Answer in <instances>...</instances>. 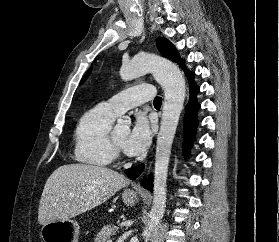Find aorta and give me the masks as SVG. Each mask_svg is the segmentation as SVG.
Segmentation results:
<instances>
[{"label":"aorta","mask_w":279,"mask_h":242,"mask_svg":"<svg viewBox=\"0 0 279 242\" xmlns=\"http://www.w3.org/2000/svg\"><path fill=\"white\" fill-rule=\"evenodd\" d=\"M146 73L154 75L164 89L165 95L160 131L156 143L153 205L149 212L150 220L143 231L145 238H148L159 225L165 212L168 166L172 143L185 101L186 86L183 74L177 65L157 55L137 54L128 63L122 65L120 69V76L125 81L135 79ZM129 126L130 119L123 117L118 119L116 128L125 130Z\"/></svg>","instance_id":"obj_1"}]
</instances>
